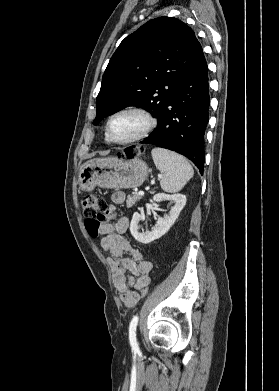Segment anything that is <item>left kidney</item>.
Masks as SVG:
<instances>
[{
    "mask_svg": "<svg viewBox=\"0 0 279 391\" xmlns=\"http://www.w3.org/2000/svg\"><path fill=\"white\" fill-rule=\"evenodd\" d=\"M153 201H169L173 204V206L171 207L168 214L164 215L163 217H158L152 231H146L144 233L139 232L138 226L139 222L142 220V216L137 212L133 214L130 223V232L135 240L143 244H148L167 233V231L178 218L181 210L184 208L186 204V196L180 193L172 195L158 193L153 197Z\"/></svg>",
    "mask_w": 279,
    "mask_h": 391,
    "instance_id": "left-kidney-1",
    "label": "left kidney"
}]
</instances>
